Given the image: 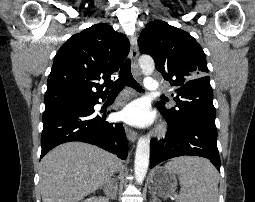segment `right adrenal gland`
Returning a JSON list of instances; mask_svg holds the SVG:
<instances>
[{
  "mask_svg": "<svg viewBox=\"0 0 255 202\" xmlns=\"http://www.w3.org/2000/svg\"><path fill=\"white\" fill-rule=\"evenodd\" d=\"M102 188H104V193H105V195L107 196V199H113L108 193H107V191L105 190V187L103 186H101L100 187V189H102ZM118 190V187L116 186V191Z\"/></svg>",
  "mask_w": 255,
  "mask_h": 202,
  "instance_id": "2a0ac1e0",
  "label": "right adrenal gland"
}]
</instances>
